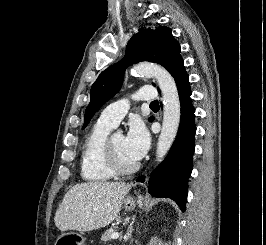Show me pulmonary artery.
<instances>
[{
	"label": "pulmonary artery",
	"instance_id": "e3ab8cb5",
	"mask_svg": "<svg viewBox=\"0 0 266 245\" xmlns=\"http://www.w3.org/2000/svg\"><path fill=\"white\" fill-rule=\"evenodd\" d=\"M142 90L144 91L136 92V101H152V96H155L154 86H144ZM123 100H126V97H123ZM129 107L130 105L128 103L109 105L101 111L98 120L109 123L114 127L126 115Z\"/></svg>",
	"mask_w": 266,
	"mask_h": 245
}]
</instances>
